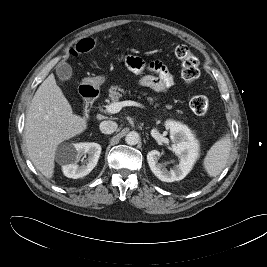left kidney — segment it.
<instances>
[{"mask_svg":"<svg viewBox=\"0 0 267 267\" xmlns=\"http://www.w3.org/2000/svg\"><path fill=\"white\" fill-rule=\"evenodd\" d=\"M166 127L170 129L171 149L179 156V163L170 170L158 162L160 152L152 150L147 154V161L151 171L161 181L174 182L182 180L192 169L197 158L195 143L190 130L183 124L168 120Z\"/></svg>","mask_w":267,"mask_h":267,"instance_id":"1","label":"left kidney"}]
</instances>
